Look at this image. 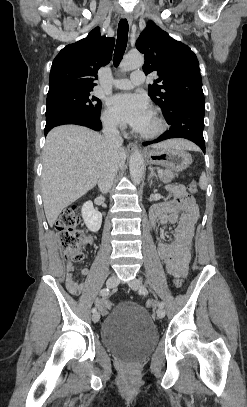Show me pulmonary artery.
Here are the masks:
<instances>
[{"instance_id":"pulmonary-artery-1","label":"pulmonary artery","mask_w":247,"mask_h":407,"mask_svg":"<svg viewBox=\"0 0 247 407\" xmlns=\"http://www.w3.org/2000/svg\"><path fill=\"white\" fill-rule=\"evenodd\" d=\"M145 81V75L141 70L135 71L130 78L115 79L112 86L116 89H131Z\"/></svg>"}]
</instances>
